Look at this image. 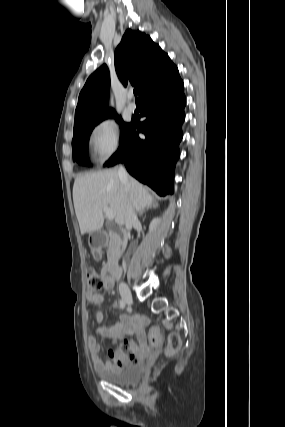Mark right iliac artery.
Returning <instances> with one entry per match:
<instances>
[{"label": "right iliac artery", "instance_id": "right-iliac-artery-1", "mask_svg": "<svg viewBox=\"0 0 285 427\" xmlns=\"http://www.w3.org/2000/svg\"><path fill=\"white\" fill-rule=\"evenodd\" d=\"M120 307L123 309L124 307H125V303H124V301L123 300H120Z\"/></svg>", "mask_w": 285, "mask_h": 427}]
</instances>
